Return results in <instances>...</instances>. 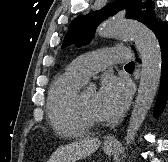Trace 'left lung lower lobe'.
I'll return each instance as SVG.
<instances>
[{"label":"left lung lower lobe","mask_w":168,"mask_h":162,"mask_svg":"<svg viewBox=\"0 0 168 162\" xmlns=\"http://www.w3.org/2000/svg\"><path fill=\"white\" fill-rule=\"evenodd\" d=\"M156 35L159 40L162 50V74L160 91L157 97L154 116H158L164 107V104L168 97V26L166 22L157 20L153 24L148 26Z\"/></svg>","instance_id":"0a47b994"}]
</instances>
